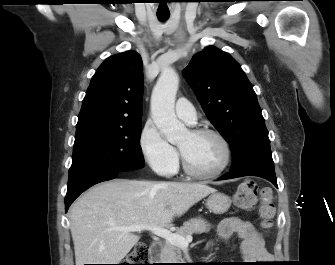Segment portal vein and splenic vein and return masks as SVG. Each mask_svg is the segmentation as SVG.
Here are the masks:
<instances>
[{"mask_svg": "<svg viewBox=\"0 0 335 265\" xmlns=\"http://www.w3.org/2000/svg\"><path fill=\"white\" fill-rule=\"evenodd\" d=\"M115 230H119L122 232H136V231H142V230H148L155 234L156 236H159L161 238H164L169 243L179 246V247H187L189 243L192 242V236L188 235L186 237H183L181 235H178L176 233H173L161 226L157 225H131V226H123V227H115Z\"/></svg>", "mask_w": 335, "mask_h": 265, "instance_id": "portal-vein-and-splenic-vein-1", "label": "portal vein and splenic vein"}]
</instances>
